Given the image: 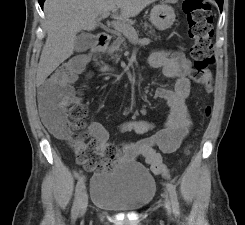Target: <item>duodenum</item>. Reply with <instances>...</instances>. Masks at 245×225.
Returning <instances> with one entry per match:
<instances>
[{
    "label": "duodenum",
    "instance_id": "obj_1",
    "mask_svg": "<svg viewBox=\"0 0 245 225\" xmlns=\"http://www.w3.org/2000/svg\"><path fill=\"white\" fill-rule=\"evenodd\" d=\"M110 40H111V36L109 33L107 32L98 33L96 37L95 47L93 50L94 55L99 56L103 54L106 51ZM101 69L105 72L109 71V68L107 66H101Z\"/></svg>",
    "mask_w": 245,
    "mask_h": 225
}]
</instances>
